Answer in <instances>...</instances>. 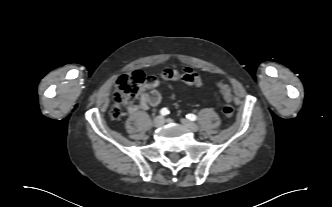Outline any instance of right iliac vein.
Here are the masks:
<instances>
[{
	"label": "right iliac vein",
	"instance_id": "63e3f726",
	"mask_svg": "<svg viewBox=\"0 0 332 207\" xmlns=\"http://www.w3.org/2000/svg\"><path fill=\"white\" fill-rule=\"evenodd\" d=\"M165 123V120L162 116H157L153 120V125L157 128L162 127Z\"/></svg>",
	"mask_w": 332,
	"mask_h": 207
}]
</instances>
